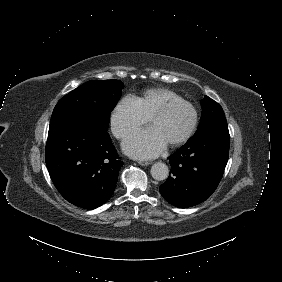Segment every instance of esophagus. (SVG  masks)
Here are the masks:
<instances>
[{"label": "esophagus", "mask_w": 282, "mask_h": 282, "mask_svg": "<svg viewBox=\"0 0 282 282\" xmlns=\"http://www.w3.org/2000/svg\"><path fill=\"white\" fill-rule=\"evenodd\" d=\"M138 164H139V165H142V166H147V165H150L151 162H147V161H138Z\"/></svg>", "instance_id": "1"}]
</instances>
